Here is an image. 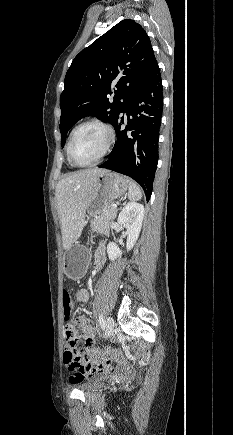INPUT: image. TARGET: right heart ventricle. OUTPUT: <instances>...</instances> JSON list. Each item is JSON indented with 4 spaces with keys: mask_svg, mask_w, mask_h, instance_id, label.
Wrapping results in <instances>:
<instances>
[{
    "mask_svg": "<svg viewBox=\"0 0 233 435\" xmlns=\"http://www.w3.org/2000/svg\"><path fill=\"white\" fill-rule=\"evenodd\" d=\"M68 162H69L70 165H72L71 162L69 161V159H68Z\"/></svg>",
    "mask_w": 233,
    "mask_h": 435,
    "instance_id": "right-heart-ventricle-1",
    "label": "right heart ventricle"
}]
</instances>
